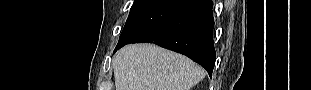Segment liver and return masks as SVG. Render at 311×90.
I'll use <instances>...</instances> for the list:
<instances>
[{
  "label": "liver",
  "instance_id": "obj_1",
  "mask_svg": "<svg viewBox=\"0 0 311 90\" xmlns=\"http://www.w3.org/2000/svg\"><path fill=\"white\" fill-rule=\"evenodd\" d=\"M116 90H190L204 71L189 58L153 44H131L113 58Z\"/></svg>",
  "mask_w": 311,
  "mask_h": 90
}]
</instances>
